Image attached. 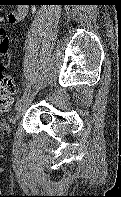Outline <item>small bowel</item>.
Listing matches in <instances>:
<instances>
[{
	"mask_svg": "<svg viewBox=\"0 0 121 197\" xmlns=\"http://www.w3.org/2000/svg\"><path fill=\"white\" fill-rule=\"evenodd\" d=\"M28 13V7L20 4L15 11L4 13L0 8V22L7 20L11 24L20 22ZM0 54L7 55L9 45L8 38L4 31L0 29Z\"/></svg>",
	"mask_w": 121,
	"mask_h": 197,
	"instance_id": "small-bowel-1",
	"label": "small bowel"
}]
</instances>
